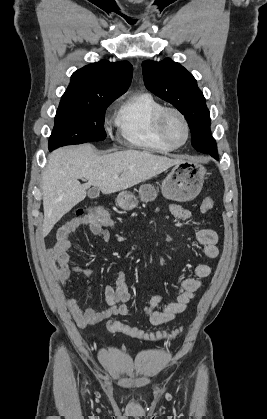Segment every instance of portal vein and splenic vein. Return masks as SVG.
Instances as JSON below:
<instances>
[{
    "label": "portal vein and splenic vein",
    "instance_id": "18ae733b",
    "mask_svg": "<svg viewBox=\"0 0 267 419\" xmlns=\"http://www.w3.org/2000/svg\"><path fill=\"white\" fill-rule=\"evenodd\" d=\"M114 177H115V178H117L118 176H117V175H115Z\"/></svg>",
    "mask_w": 267,
    "mask_h": 419
}]
</instances>
